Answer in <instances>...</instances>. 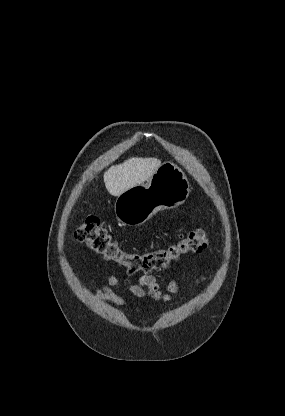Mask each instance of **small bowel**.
<instances>
[{
  "label": "small bowel",
  "mask_w": 285,
  "mask_h": 416,
  "mask_svg": "<svg viewBox=\"0 0 285 416\" xmlns=\"http://www.w3.org/2000/svg\"><path fill=\"white\" fill-rule=\"evenodd\" d=\"M206 279V276L199 277L196 279L194 285H200ZM91 287L95 297L102 304H115L117 306H124L125 301L113 291V288L126 289L138 298H150L155 301L164 302L171 301L173 295L179 293L182 289L178 283L171 282L167 287V292H162L156 278L151 275H143L137 282H132L129 279L119 280L114 275H109L106 282L101 286H97L95 281L92 280Z\"/></svg>",
  "instance_id": "obj_1"
}]
</instances>
